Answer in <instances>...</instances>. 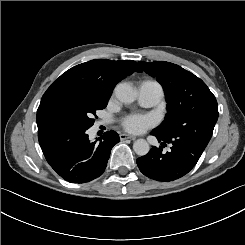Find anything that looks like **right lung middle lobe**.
Segmentation results:
<instances>
[{
	"label": "right lung middle lobe",
	"mask_w": 245,
	"mask_h": 245,
	"mask_svg": "<svg viewBox=\"0 0 245 245\" xmlns=\"http://www.w3.org/2000/svg\"><path fill=\"white\" fill-rule=\"evenodd\" d=\"M108 100L87 91L61 90L45 105L41 125L43 129H88L95 121L92 116L105 108Z\"/></svg>",
	"instance_id": "right-lung-middle-lobe-1"
}]
</instances>
